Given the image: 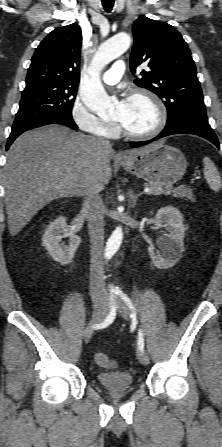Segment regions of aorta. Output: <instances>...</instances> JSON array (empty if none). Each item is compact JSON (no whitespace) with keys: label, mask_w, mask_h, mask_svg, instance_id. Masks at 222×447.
<instances>
[{"label":"aorta","mask_w":222,"mask_h":447,"mask_svg":"<svg viewBox=\"0 0 222 447\" xmlns=\"http://www.w3.org/2000/svg\"><path fill=\"white\" fill-rule=\"evenodd\" d=\"M131 38L127 33L121 32L104 42L96 52L88 75L86 76L82 89L81 99L85 106L99 116L111 111L114 107L113 100L107 95L101 85L100 71L112 60L127 51ZM123 239L121 227H117L106 243L105 257L111 258L119 249Z\"/></svg>","instance_id":"obj_1"}]
</instances>
